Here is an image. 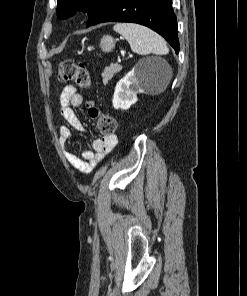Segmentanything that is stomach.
Here are the masks:
<instances>
[{"label": "stomach", "instance_id": "stomach-1", "mask_svg": "<svg viewBox=\"0 0 247 296\" xmlns=\"http://www.w3.org/2000/svg\"><path fill=\"white\" fill-rule=\"evenodd\" d=\"M100 47L103 52H110L115 47V41L112 36L104 35L100 41Z\"/></svg>", "mask_w": 247, "mask_h": 296}]
</instances>
